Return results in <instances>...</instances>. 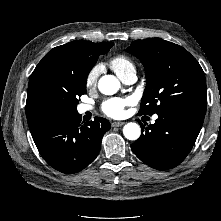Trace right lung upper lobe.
Returning <instances> with one entry per match:
<instances>
[{"label":"right lung upper lobe","instance_id":"right-lung-upper-lobe-1","mask_svg":"<svg viewBox=\"0 0 221 221\" xmlns=\"http://www.w3.org/2000/svg\"><path fill=\"white\" fill-rule=\"evenodd\" d=\"M107 43L73 41L49 51L33 71L27 92V119L50 110V101L56 89L61 88L60 74L68 67L72 59L91 47Z\"/></svg>","mask_w":221,"mask_h":221}]
</instances>
